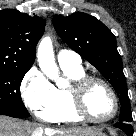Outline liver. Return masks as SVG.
<instances>
[{"label": "liver", "mask_w": 136, "mask_h": 136, "mask_svg": "<svg viewBox=\"0 0 136 136\" xmlns=\"http://www.w3.org/2000/svg\"><path fill=\"white\" fill-rule=\"evenodd\" d=\"M99 136L104 135L98 128L44 129L28 121H19L7 116H0V136Z\"/></svg>", "instance_id": "liver-1"}]
</instances>
